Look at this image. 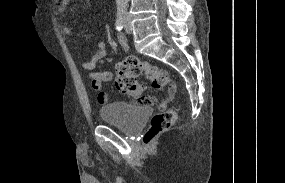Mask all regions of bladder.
<instances>
[{"instance_id": "31cf9c89", "label": "bladder", "mask_w": 285, "mask_h": 183, "mask_svg": "<svg viewBox=\"0 0 285 183\" xmlns=\"http://www.w3.org/2000/svg\"><path fill=\"white\" fill-rule=\"evenodd\" d=\"M152 108L148 105H136L125 102L109 103L101 107V119L119 126L125 131L137 129L150 115Z\"/></svg>"}]
</instances>
